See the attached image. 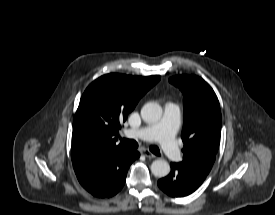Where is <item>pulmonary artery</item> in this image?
Returning a JSON list of instances; mask_svg holds the SVG:
<instances>
[{"label": "pulmonary artery", "mask_w": 275, "mask_h": 215, "mask_svg": "<svg viewBox=\"0 0 275 215\" xmlns=\"http://www.w3.org/2000/svg\"><path fill=\"white\" fill-rule=\"evenodd\" d=\"M181 109L175 103H167L161 120L155 124L140 129H127L124 134L127 137L144 141H158L171 161H178L181 157L175 141V135L179 128Z\"/></svg>", "instance_id": "1"}]
</instances>
